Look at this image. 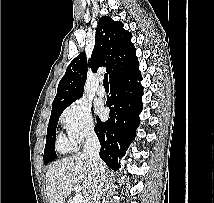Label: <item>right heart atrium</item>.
<instances>
[{
	"label": "right heart atrium",
	"instance_id": "obj_1",
	"mask_svg": "<svg viewBox=\"0 0 214 203\" xmlns=\"http://www.w3.org/2000/svg\"><path fill=\"white\" fill-rule=\"evenodd\" d=\"M59 122L68 140L75 146L92 136L95 131L90 107L81 100L68 105L63 110Z\"/></svg>",
	"mask_w": 214,
	"mask_h": 203
}]
</instances>
